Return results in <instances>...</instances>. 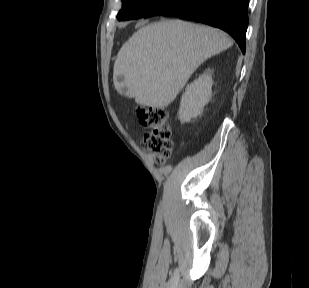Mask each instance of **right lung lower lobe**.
<instances>
[{
  "label": "right lung lower lobe",
  "mask_w": 309,
  "mask_h": 288,
  "mask_svg": "<svg viewBox=\"0 0 309 288\" xmlns=\"http://www.w3.org/2000/svg\"><path fill=\"white\" fill-rule=\"evenodd\" d=\"M249 0H165L144 17L176 16L228 32L245 53Z\"/></svg>",
  "instance_id": "obj_1"
}]
</instances>
